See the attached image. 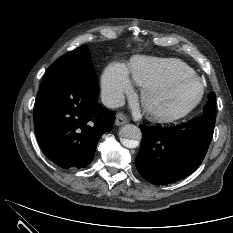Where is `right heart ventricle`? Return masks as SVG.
Returning <instances> with one entry per match:
<instances>
[{"instance_id":"1","label":"right heart ventricle","mask_w":233,"mask_h":233,"mask_svg":"<svg viewBox=\"0 0 233 233\" xmlns=\"http://www.w3.org/2000/svg\"><path fill=\"white\" fill-rule=\"evenodd\" d=\"M128 72L134 82L144 87L183 74H194L185 62L173 58L136 56L131 59Z\"/></svg>"}]
</instances>
